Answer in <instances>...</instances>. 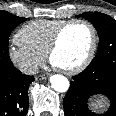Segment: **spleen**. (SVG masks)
I'll return each mask as SVG.
<instances>
[{
    "instance_id": "3e777b00",
    "label": "spleen",
    "mask_w": 116,
    "mask_h": 116,
    "mask_svg": "<svg viewBox=\"0 0 116 116\" xmlns=\"http://www.w3.org/2000/svg\"><path fill=\"white\" fill-rule=\"evenodd\" d=\"M93 105L102 107V102H101V100H98V101L94 102Z\"/></svg>"
}]
</instances>
